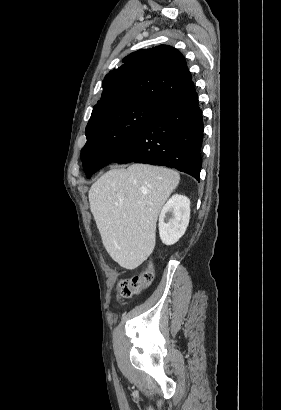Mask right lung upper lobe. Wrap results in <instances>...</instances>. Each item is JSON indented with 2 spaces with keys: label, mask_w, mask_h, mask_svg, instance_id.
<instances>
[{
  "label": "right lung upper lobe",
  "mask_w": 281,
  "mask_h": 410,
  "mask_svg": "<svg viewBox=\"0 0 281 410\" xmlns=\"http://www.w3.org/2000/svg\"><path fill=\"white\" fill-rule=\"evenodd\" d=\"M123 63L105 76L92 115L104 108L137 103L161 108L195 90L185 58L171 46L138 50Z\"/></svg>",
  "instance_id": "right-lung-upper-lobe-1"
}]
</instances>
